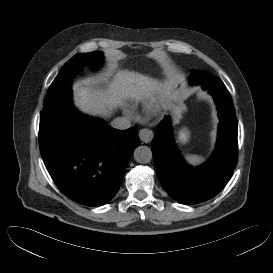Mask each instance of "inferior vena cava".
I'll return each mask as SVG.
<instances>
[{
    "label": "inferior vena cava",
    "mask_w": 273,
    "mask_h": 273,
    "mask_svg": "<svg viewBox=\"0 0 273 273\" xmlns=\"http://www.w3.org/2000/svg\"><path fill=\"white\" fill-rule=\"evenodd\" d=\"M111 126L119 130H125L130 128L131 123L129 119L125 117H117L111 122Z\"/></svg>",
    "instance_id": "inferior-vena-cava-1"
}]
</instances>
